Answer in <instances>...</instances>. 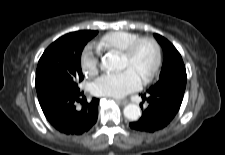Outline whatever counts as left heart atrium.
I'll return each mask as SVG.
<instances>
[{
    "mask_svg": "<svg viewBox=\"0 0 225 155\" xmlns=\"http://www.w3.org/2000/svg\"><path fill=\"white\" fill-rule=\"evenodd\" d=\"M143 79L131 68L121 72L107 73L97 78L92 84V92L96 96L120 98L138 90Z\"/></svg>",
    "mask_w": 225,
    "mask_h": 155,
    "instance_id": "left-heart-atrium-1",
    "label": "left heart atrium"
}]
</instances>
